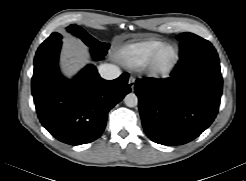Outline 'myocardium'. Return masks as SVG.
Returning <instances> with one entry per match:
<instances>
[{
    "mask_svg": "<svg viewBox=\"0 0 246 181\" xmlns=\"http://www.w3.org/2000/svg\"><path fill=\"white\" fill-rule=\"evenodd\" d=\"M170 48L175 51L173 59L163 64L161 58L163 54ZM180 61V49L176 44H166L161 46L143 65L149 73L156 77H166L171 74Z\"/></svg>",
    "mask_w": 246,
    "mask_h": 181,
    "instance_id": "1",
    "label": "myocardium"
}]
</instances>
